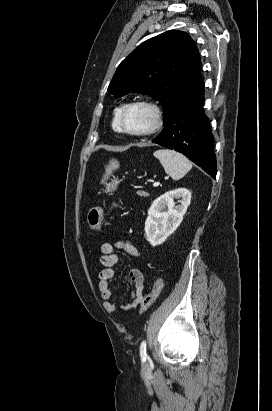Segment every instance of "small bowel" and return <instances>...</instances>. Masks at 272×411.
Wrapping results in <instances>:
<instances>
[{"mask_svg":"<svg viewBox=\"0 0 272 411\" xmlns=\"http://www.w3.org/2000/svg\"><path fill=\"white\" fill-rule=\"evenodd\" d=\"M100 250L102 253L100 263L104 268L99 274L98 290L101 298L104 300V309L108 313L113 314L118 310L117 303L110 301L112 297L111 281L115 276V266L119 261L115 250H122L133 257H137L139 253L133 244L123 240L103 243ZM127 280L131 286V293L129 299L119 305L124 311L135 308L136 302L142 296L144 289V275L140 269L131 268L127 273Z\"/></svg>","mask_w":272,"mask_h":411,"instance_id":"small-bowel-1","label":"small bowel"}]
</instances>
